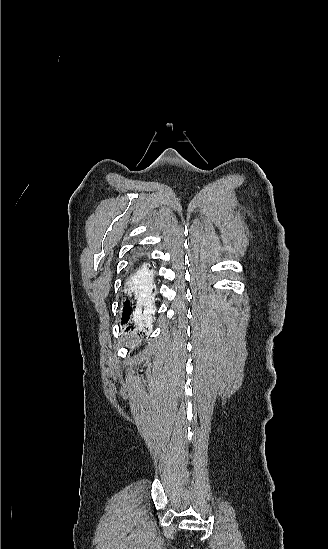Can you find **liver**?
<instances>
[{
	"label": "liver",
	"mask_w": 328,
	"mask_h": 549,
	"mask_svg": "<svg viewBox=\"0 0 328 549\" xmlns=\"http://www.w3.org/2000/svg\"><path fill=\"white\" fill-rule=\"evenodd\" d=\"M124 341H126V345H135V343H137L136 339L130 337V335H126Z\"/></svg>",
	"instance_id": "1"
}]
</instances>
